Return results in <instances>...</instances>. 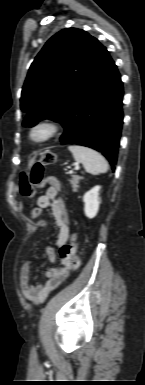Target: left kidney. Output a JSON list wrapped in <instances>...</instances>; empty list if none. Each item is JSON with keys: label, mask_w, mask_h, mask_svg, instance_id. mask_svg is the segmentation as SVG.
<instances>
[{"label": "left kidney", "mask_w": 145, "mask_h": 385, "mask_svg": "<svg viewBox=\"0 0 145 385\" xmlns=\"http://www.w3.org/2000/svg\"><path fill=\"white\" fill-rule=\"evenodd\" d=\"M100 189H101L100 186H95L91 190L86 192L83 196L84 212L89 219L94 218L98 213L99 205H100V198H99Z\"/></svg>", "instance_id": "1"}]
</instances>
